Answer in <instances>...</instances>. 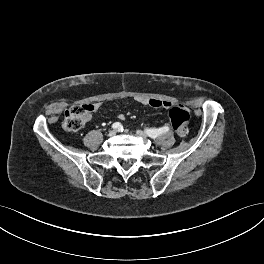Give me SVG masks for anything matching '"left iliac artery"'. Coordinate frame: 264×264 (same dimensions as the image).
<instances>
[{
  "label": "left iliac artery",
  "instance_id": "1",
  "mask_svg": "<svg viewBox=\"0 0 264 264\" xmlns=\"http://www.w3.org/2000/svg\"><path fill=\"white\" fill-rule=\"evenodd\" d=\"M169 131V128L164 126L158 129H146V132H151V133H157L158 135H161L163 133H166Z\"/></svg>",
  "mask_w": 264,
  "mask_h": 264
}]
</instances>
